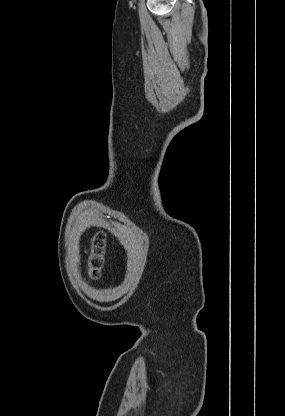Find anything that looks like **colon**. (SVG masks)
Wrapping results in <instances>:
<instances>
[{"label": "colon", "mask_w": 285, "mask_h": 416, "mask_svg": "<svg viewBox=\"0 0 285 416\" xmlns=\"http://www.w3.org/2000/svg\"><path fill=\"white\" fill-rule=\"evenodd\" d=\"M106 241L102 234H96L91 241L87 260V275L91 281L100 278L104 266Z\"/></svg>", "instance_id": "colon-1"}]
</instances>
